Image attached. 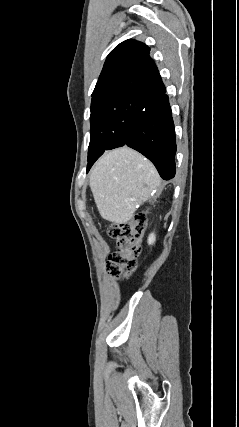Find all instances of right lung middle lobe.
Instances as JSON below:
<instances>
[{
  "label": "right lung middle lobe",
  "mask_w": 239,
  "mask_h": 427,
  "mask_svg": "<svg viewBox=\"0 0 239 427\" xmlns=\"http://www.w3.org/2000/svg\"><path fill=\"white\" fill-rule=\"evenodd\" d=\"M145 105L146 99L134 96L105 99L91 104L87 172L105 150L124 144L135 117Z\"/></svg>",
  "instance_id": "dd1d6c3e"
}]
</instances>
